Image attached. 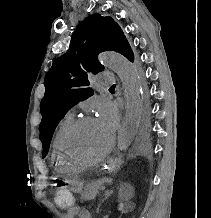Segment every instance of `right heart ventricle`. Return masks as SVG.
Instances as JSON below:
<instances>
[{"label":"right heart ventricle","mask_w":211,"mask_h":218,"mask_svg":"<svg viewBox=\"0 0 211 218\" xmlns=\"http://www.w3.org/2000/svg\"><path fill=\"white\" fill-rule=\"evenodd\" d=\"M75 120L73 112H67L59 121L53 139V150L55 154H50V165L52 169H69L70 165L65 164V161L61 157L64 154V135L69 126Z\"/></svg>","instance_id":"right-heart-ventricle-1"}]
</instances>
